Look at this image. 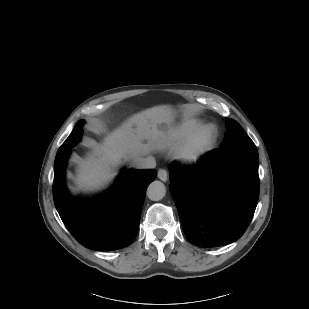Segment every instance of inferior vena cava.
Masks as SVG:
<instances>
[{
	"instance_id": "602c4592",
	"label": "inferior vena cava",
	"mask_w": 309,
	"mask_h": 309,
	"mask_svg": "<svg viewBox=\"0 0 309 309\" xmlns=\"http://www.w3.org/2000/svg\"><path fill=\"white\" fill-rule=\"evenodd\" d=\"M134 166L138 169H150L156 167V161L153 157L137 158L134 161Z\"/></svg>"
}]
</instances>
